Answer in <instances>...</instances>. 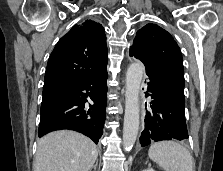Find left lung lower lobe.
Masks as SVG:
<instances>
[{
	"label": "left lung lower lobe",
	"mask_w": 223,
	"mask_h": 171,
	"mask_svg": "<svg viewBox=\"0 0 223 171\" xmlns=\"http://www.w3.org/2000/svg\"><path fill=\"white\" fill-rule=\"evenodd\" d=\"M129 54L145 65L148 76L146 97L152 99V109L146 111L145 128L140 136L141 146L154 141L187 139L184 85L141 58L137 52L130 50Z\"/></svg>",
	"instance_id": "obj_1"
}]
</instances>
